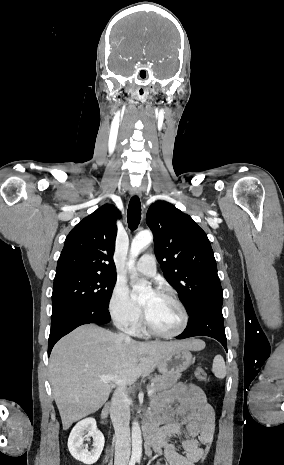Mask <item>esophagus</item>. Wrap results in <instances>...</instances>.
<instances>
[{
	"instance_id": "1",
	"label": "esophagus",
	"mask_w": 284,
	"mask_h": 465,
	"mask_svg": "<svg viewBox=\"0 0 284 465\" xmlns=\"http://www.w3.org/2000/svg\"><path fill=\"white\" fill-rule=\"evenodd\" d=\"M130 195L133 196H141V190L139 188H131L130 189Z\"/></svg>"
}]
</instances>
